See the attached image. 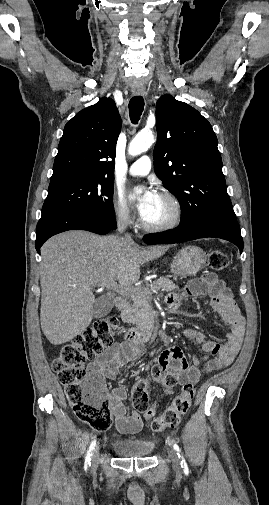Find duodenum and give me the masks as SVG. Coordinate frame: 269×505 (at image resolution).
I'll use <instances>...</instances> for the list:
<instances>
[{
	"label": "duodenum",
	"instance_id": "duodenum-1",
	"mask_svg": "<svg viewBox=\"0 0 269 505\" xmlns=\"http://www.w3.org/2000/svg\"><path fill=\"white\" fill-rule=\"evenodd\" d=\"M128 306V300L123 296L115 298V307L118 310H124ZM156 337V326L152 319L147 320L143 324L127 328L123 331V339L125 342L135 346H141L147 341L153 340Z\"/></svg>",
	"mask_w": 269,
	"mask_h": 505
}]
</instances>
